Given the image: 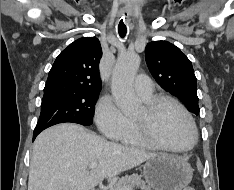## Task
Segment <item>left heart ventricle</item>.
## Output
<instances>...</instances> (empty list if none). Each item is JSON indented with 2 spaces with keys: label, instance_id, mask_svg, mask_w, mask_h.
Wrapping results in <instances>:
<instances>
[{
  "label": "left heart ventricle",
  "instance_id": "left-heart-ventricle-1",
  "mask_svg": "<svg viewBox=\"0 0 234 190\" xmlns=\"http://www.w3.org/2000/svg\"><path fill=\"white\" fill-rule=\"evenodd\" d=\"M143 114V108L136 117ZM155 132L165 143L174 147H186L193 140L192 128L184 114L173 105L163 106L155 121Z\"/></svg>",
  "mask_w": 234,
  "mask_h": 190
}]
</instances>
